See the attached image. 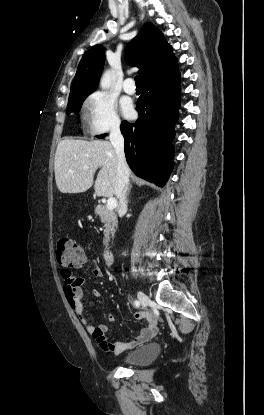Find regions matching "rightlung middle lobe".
Segmentation results:
<instances>
[{
    "instance_id": "dd1d6c3e",
    "label": "right lung middle lobe",
    "mask_w": 264,
    "mask_h": 415,
    "mask_svg": "<svg viewBox=\"0 0 264 415\" xmlns=\"http://www.w3.org/2000/svg\"><path fill=\"white\" fill-rule=\"evenodd\" d=\"M87 96L88 95H78L69 97L67 114H70L71 112H78Z\"/></svg>"
}]
</instances>
